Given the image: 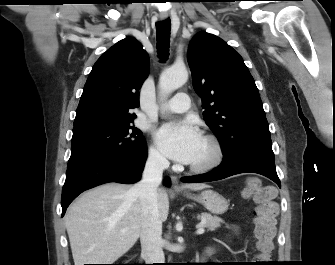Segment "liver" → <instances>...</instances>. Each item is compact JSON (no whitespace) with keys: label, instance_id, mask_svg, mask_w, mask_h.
Segmentation results:
<instances>
[{"label":"liver","instance_id":"1","mask_svg":"<svg viewBox=\"0 0 335 265\" xmlns=\"http://www.w3.org/2000/svg\"><path fill=\"white\" fill-rule=\"evenodd\" d=\"M134 186L108 183L85 192L68 209L65 227L75 265L113 264L137 242L142 212ZM202 190L205 184H186ZM159 216L166 221L169 198L166 190H157Z\"/></svg>","mask_w":335,"mask_h":265}]
</instances>
